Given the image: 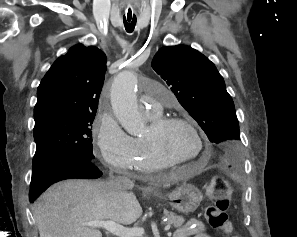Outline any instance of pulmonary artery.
Wrapping results in <instances>:
<instances>
[{
	"instance_id": "1",
	"label": "pulmonary artery",
	"mask_w": 297,
	"mask_h": 237,
	"mask_svg": "<svg viewBox=\"0 0 297 237\" xmlns=\"http://www.w3.org/2000/svg\"><path fill=\"white\" fill-rule=\"evenodd\" d=\"M164 94H167V97H165ZM174 103L175 100L169 92L153 86H147L145 88L142 108L148 115H156L161 110L162 106L170 107Z\"/></svg>"
}]
</instances>
